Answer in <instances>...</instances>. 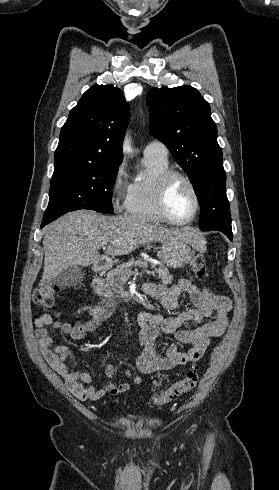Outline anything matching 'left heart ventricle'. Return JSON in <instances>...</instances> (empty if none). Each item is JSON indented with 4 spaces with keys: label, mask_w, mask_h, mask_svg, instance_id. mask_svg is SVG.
<instances>
[{
    "label": "left heart ventricle",
    "mask_w": 279,
    "mask_h": 490,
    "mask_svg": "<svg viewBox=\"0 0 279 490\" xmlns=\"http://www.w3.org/2000/svg\"><path fill=\"white\" fill-rule=\"evenodd\" d=\"M171 215L177 220L188 219L194 210V196L190 186L183 180H178L172 187L169 200Z\"/></svg>",
    "instance_id": "obj_1"
}]
</instances>
